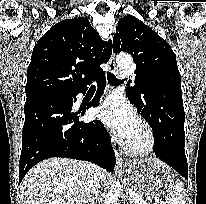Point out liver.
<instances>
[{
    "label": "liver",
    "mask_w": 206,
    "mask_h": 204,
    "mask_svg": "<svg viewBox=\"0 0 206 204\" xmlns=\"http://www.w3.org/2000/svg\"><path fill=\"white\" fill-rule=\"evenodd\" d=\"M108 173L102 170L101 182ZM88 164L67 158H50L38 163L20 185L22 204H84Z\"/></svg>",
    "instance_id": "1"
}]
</instances>
